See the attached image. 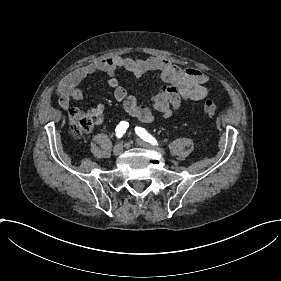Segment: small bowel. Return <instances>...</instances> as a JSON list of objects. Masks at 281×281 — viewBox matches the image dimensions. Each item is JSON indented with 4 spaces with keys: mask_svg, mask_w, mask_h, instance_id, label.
<instances>
[{
    "mask_svg": "<svg viewBox=\"0 0 281 281\" xmlns=\"http://www.w3.org/2000/svg\"><path fill=\"white\" fill-rule=\"evenodd\" d=\"M120 71L128 72L133 79H139L147 73H154L166 83L161 91L149 96L153 108L162 119H169L183 100L201 101L209 94L205 87L207 77L197 68H181L154 57L144 60L112 57L100 59L76 70L57 85L55 95L60 106L67 109L73 101H80L83 96L81 83L104 72L108 74L107 84L113 89L114 99L122 104L124 110L142 122L153 121L154 117L148 107L140 106L134 96L128 95L125 89L118 85L115 74ZM104 113L105 106L102 103H98L90 111L99 128L104 124L102 121Z\"/></svg>",
    "mask_w": 281,
    "mask_h": 281,
    "instance_id": "small-bowel-1",
    "label": "small bowel"
}]
</instances>
